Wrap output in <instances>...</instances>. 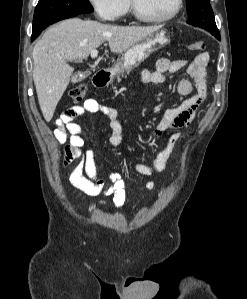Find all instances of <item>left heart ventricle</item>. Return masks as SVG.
Here are the masks:
<instances>
[{
    "label": "left heart ventricle",
    "mask_w": 247,
    "mask_h": 299,
    "mask_svg": "<svg viewBox=\"0 0 247 299\" xmlns=\"http://www.w3.org/2000/svg\"><path fill=\"white\" fill-rule=\"evenodd\" d=\"M140 10L150 17H162L169 14L176 0H137Z\"/></svg>",
    "instance_id": "b2bd125f"
}]
</instances>
